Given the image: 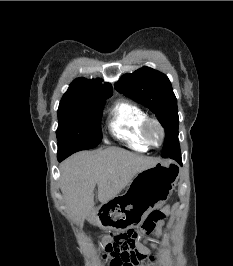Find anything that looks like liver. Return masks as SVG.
Returning <instances> with one entry per match:
<instances>
[{
    "label": "liver",
    "mask_w": 233,
    "mask_h": 266,
    "mask_svg": "<svg viewBox=\"0 0 233 266\" xmlns=\"http://www.w3.org/2000/svg\"><path fill=\"white\" fill-rule=\"evenodd\" d=\"M159 159L118 147L78 152L60 165V188L69 215L76 223H94V190L98 200L107 203L118 195L141 171L155 166Z\"/></svg>",
    "instance_id": "obj_1"
}]
</instances>
